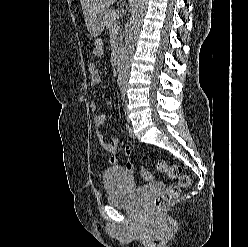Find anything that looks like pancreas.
Here are the masks:
<instances>
[{"mask_svg":"<svg viewBox=\"0 0 248 247\" xmlns=\"http://www.w3.org/2000/svg\"><path fill=\"white\" fill-rule=\"evenodd\" d=\"M105 23H106V27L109 31H113V30H119L120 26L118 24V21L116 20V13L115 10H108L105 13ZM122 41V37H120V39L118 40Z\"/></svg>","mask_w":248,"mask_h":247,"instance_id":"1","label":"pancreas"}]
</instances>
